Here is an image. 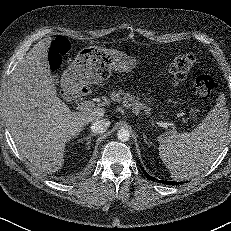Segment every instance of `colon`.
Instances as JSON below:
<instances>
[{
  "label": "colon",
  "mask_w": 231,
  "mask_h": 231,
  "mask_svg": "<svg viewBox=\"0 0 231 231\" xmlns=\"http://www.w3.org/2000/svg\"><path fill=\"white\" fill-rule=\"evenodd\" d=\"M70 50L69 42L63 38H57L48 51V62L52 69H57ZM196 58L191 53L180 54L173 59L169 66V74L174 82L185 78L192 69ZM216 86L214 78L209 74L199 73L193 78V87L199 98L206 99L214 91Z\"/></svg>",
  "instance_id": "colon-1"
}]
</instances>
